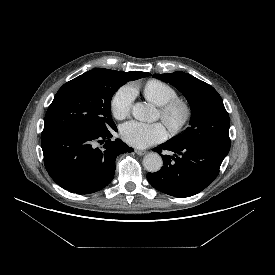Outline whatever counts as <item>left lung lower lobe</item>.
I'll list each match as a JSON object with an SVG mask.
<instances>
[{
	"mask_svg": "<svg viewBox=\"0 0 275 275\" xmlns=\"http://www.w3.org/2000/svg\"><path fill=\"white\" fill-rule=\"evenodd\" d=\"M172 151L161 155L162 168L148 173V182L158 191L175 196L190 197L205 189L219 174L223 159L229 151L201 144H178L167 141L153 149Z\"/></svg>",
	"mask_w": 275,
	"mask_h": 275,
	"instance_id": "1",
	"label": "left lung lower lobe"
}]
</instances>
